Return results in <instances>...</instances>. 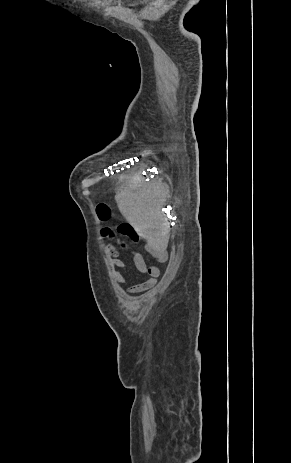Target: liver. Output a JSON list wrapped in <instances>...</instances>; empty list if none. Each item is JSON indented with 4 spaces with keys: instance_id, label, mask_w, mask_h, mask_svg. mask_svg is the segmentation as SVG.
Masks as SVG:
<instances>
[{
    "instance_id": "1",
    "label": "liver",
    "mask_w": 291,
    "mask_h": 463,
    "mask_svg": "<svg viewBox=\"0 0 291 463\" xmlns=\"http://www.w3.org/2000/svg\"><path fill=\"white\" fill-rule=\"evenodd\" d=\"M163 195L160 184L145 183L133 176L115 196L121 214L146 239V249L153 256L164 253L169 242L170 228L161 213Z\"/></svg>"
}]
</instances>
